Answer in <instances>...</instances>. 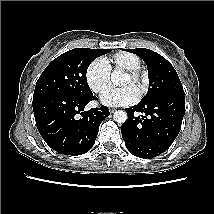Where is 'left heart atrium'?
<instances>
[{
  "mask_svg": "<svg viewBox=\"0 0 214 214\" xmlns=\"http://www.w3.org/2000/svg\"><path fill=\"white\" fill-rule=\"evenodd\" d=\"M139 93L133 86H123L111 89L101 96V103L110 107H120L133 104L137 101Z\"/></svg>",
  "mask_w": 214,
  "mask_h": 214,
  "instance_id": "obj_1",
  "label": "left heart atrium"
}]
</instances>
